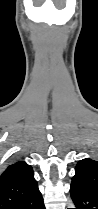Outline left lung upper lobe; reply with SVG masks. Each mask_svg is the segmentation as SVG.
Here are the masks:
<instances>
[{
    "mask_svg": "<svg viewBox=\"0 0 98 209\" xmlns=\"http://www.w3.org/2000/svg\"><path fill=\"white\" fill-rule=\"evenodd\" d=\"M71 184L95 192L98 195V161L90 158L80 160L75 167Z\"/></svg>",
    "mask_w": 98,
    "mask_h": 209,
    "instance_id": "5c2ea615",
    "label": "left lung upper lobe"
}]
</instances>
